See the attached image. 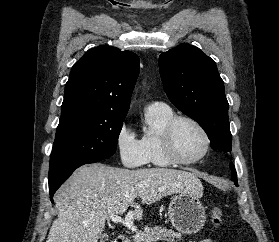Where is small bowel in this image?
<instances>
[{"label":"small bowel","instance_id":"1","mask_svg":"<svg viewBox=\"0 0 279 242\" xmlns=\"http://www.w3.org/2000/svg\"><path fill=\"white\" fill-rule=\"evenodd\" d=\"M200 242H216V241H214V240H212V239H204V240H202V241H200Z\"/></svg>","mask_w":279,"mask_h":242}]
</instances>
